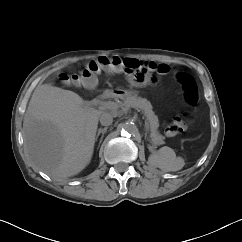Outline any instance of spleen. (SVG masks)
Instances as JSON below:
<instances>
[{
	"label": "spleen",
	"mask_w": 242,
	"mask_h": 242,
	"mask_svg": "<svg viewBox=\"0 0 242 242\" xmlns=\"http://www.w3.org/2000/svg\"><path fill=\"white\" fill-rule=\"evenodd\" d=\"M154 160L157 166L168 172L177 170L176 162L178 158H176L175 152L173 149L169 147H162L156 155H154L150 161Z\"/></svg>",
	"instance_id": "obj_1"
}]
</instances>
